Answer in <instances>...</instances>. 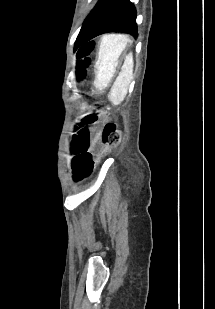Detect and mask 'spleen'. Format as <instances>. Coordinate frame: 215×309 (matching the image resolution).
Segmentation results:
<instances>
[{
	"label": "spleen",
	"mask_w": 215,
	"mask_h": 309,
	"mask_svg": "<svg viewBox=\"0 0 215 309\" xmlns=\"http://www.w3.org/2000/svg\"><path fill=\"white\" fill-rule=\"evenodd\" d=\"M128 80H129V76L128 74H125V70L123 66L119 76H117L116 78V82H114L115 86H120V92H118L116 96H113L112 98L113 104H120V102L124 100L125 94L128 88ZM111 96H112V92H111Z\"/></svg>",
	"instance_id": "3e777b00"
}]
</instances>
